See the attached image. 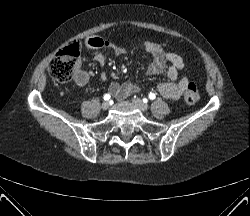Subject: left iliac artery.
<instances>
[{"label":"left iliac artery","instance_id":"44dca946","mask_svg":"<svg viewBox=\"0 0 250 216\" xmlns=\"http://www.w3.org/2000/svg\"><path fill=\"white\" fill-rule=\"evenodd\" d=\"M156 98V95L154 93L149 94V99L154 100Z\"/></svg>","mask_w":250,"mask_h":216}]
</instances>
